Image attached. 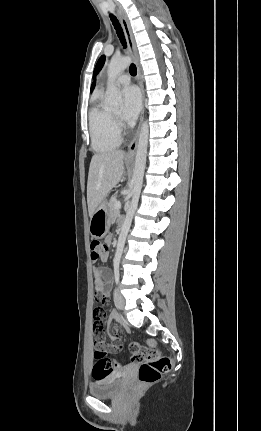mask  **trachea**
Instances as JSON below:
<instances>
[{
  "label": "trachea",
  "mask_w": 261,
  "mask_h": 431,
  "mask_svg": "<svg viewBox=\"0 0 261 431\" xmlns=\"http://www.w3.org/2000/svg\"><path fill=\"white\" fill-rule=\"evenodd\" d=\"M110 18H111V21H112V23L114 25V28L116 29V33H117V35H118V37H119L122 45L124 47H126V40H125V37H124V33L122 31V28H121V26H120L117 18L114 15H112V14H110ZM129 71H130L131 75H133V76H135L137 74V69H136L135 64H131L130 65Z\"/></svg>",
  "instance_id": "1"
}]
</instances>
